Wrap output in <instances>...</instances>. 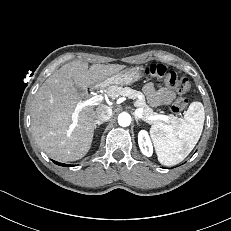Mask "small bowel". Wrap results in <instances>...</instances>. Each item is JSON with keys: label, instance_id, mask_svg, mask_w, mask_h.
Returning <instances> with one entry per match:
<instances>
[{"label": "small bowel", "instance_id": "c3829d8e", "mask_svg": "<svg viewBox=\"0 0 231 231\" xmlns=\"http://www.w3.org/2000/svg\"><path fill=\"white\" fill-rule=\"evenodd\" d=\"M143 91L149 103L154 106L168 105L175 98V93L173 90L166 87L156 89L152 83L146 84Z\"/></svg>", "mask_w": 231, "mask_h": 231}]
</instances>
